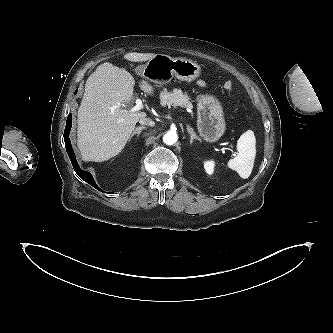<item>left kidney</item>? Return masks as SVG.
Returning a JSON list of instances; mask_svg holds the SVG:
<instances>
[{
    "mask_svg": "<svg viewBox=\"0 0 333 333\" xmlns=\"http://www.w3.org/2000/svg\"><path fill=\"white\" fill-rule=\"evenodd\" d=\"M214 162L213 161H205L204 162V168H205V171L211 175L213 172H214Z\"/></svg>",
    "mask_w": 333,
    "mask_h": 333,
    "instance_id": "1",
    "label": "left kidney"
}]
</instances>
